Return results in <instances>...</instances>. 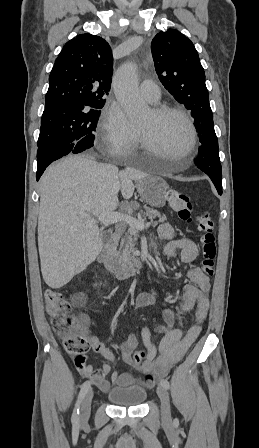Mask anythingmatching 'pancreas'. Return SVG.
Instances as JSON below:
<instances>
[{
    "label": "pancreas",
    "instance_id": "1",
    "mask_svg": "<svg viewBox=\"0 0 259 448\" xmlns=\"http://www.w3.org/2000/svg\"><path fill=\"white\" fill-rule=\"evenodd\" d=\"M146 212H143L142 216L144 220L148 218L150 222H152L153 226H158V222H165L166 216H161L160 212H157V210H152V208H145ZM158 218V220H157ZM139 234L135 228H129L127 232H125L121 242H120V248L118 252V258L123 262V264H128L130 268L134 266V264H138L139 260L137 258H134L132 256V252L136 250L134 248L135 242L138 238Z\"/></svg>",
    "mask_w": 259,
    "mask_h": 448
}]
</instances>
